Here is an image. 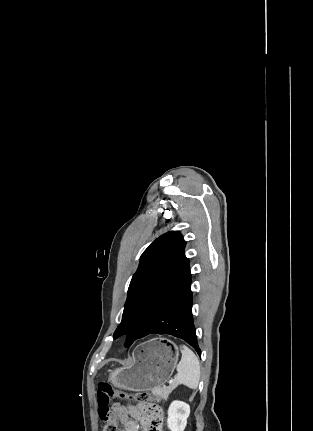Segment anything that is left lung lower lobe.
Instances as JSON below:
<instances>
[{
	"label": "left lung lower lobe",
	"mask_w": 313,
	"mask_h": 431,
	"mask_svg": "<svg viewBox=\"0 0 313 431\" xmlns=\"http://www.w3.org/2000/svg\"><path fill=\"white\" fill-rule=\"evenodd\" d=\"M190 284L158 311L137 339L150 334H169L186 341L201 356L193 323Z\"/></svg>",
	"instance_id": "obj_1"
}]
</instances>
